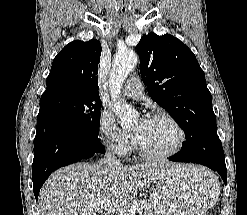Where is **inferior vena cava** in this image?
Wrapping results in <instances>:
<instances>
[{"label":"inferior vena cava","mask_w":247,"mask_h":215,"mask_svg":"<svg viewBox=\"0 0 247 215\" xmlns=\"http://www.w3.org/2000/svg\"><path fill=\"white\" fill-rule=\"evenodd\" d=\"M102 164L110 167V168H116L121 166L120 160L116 158L114 154L111 152H106L104 155V158L102 159Z\"/></svg>","instance_id":"obj_1"}]
</instances>
